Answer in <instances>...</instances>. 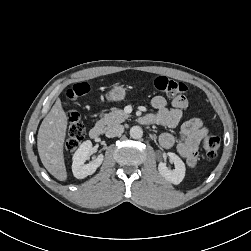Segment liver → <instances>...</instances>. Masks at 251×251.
<instances>
[{"mask_svg":"<svg viewBox=\"0 0 251 251\" xmlns=\"http://www.w3.org/2000/svg\"><path fill=\"white\" fill-rule=\"evenodd\" d=\"M68 118L60 99L43 119L37 136L38 153L42 164L60 181L67 179L63 145L66 137Z\"/></svg>","mask_w":251,"mask_h":251,"instance_id":"obj_1","label":"liver"}]
</instances>
